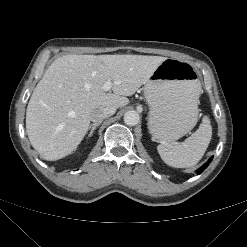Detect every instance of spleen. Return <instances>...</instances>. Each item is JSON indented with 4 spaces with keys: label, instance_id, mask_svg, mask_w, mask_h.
I'll return each instance as SVG.
<instances>
[{
    "label": "spleen",
    "instance_id": "obj_1",
    "mask_svg": "<svg viewBox=\"0 0 247 247\" xmlns=\"http://www.w3.org/2000/svg\"><path fill=\"white\" fill-rule=\"evenodd\" d=\"M212 137V127L207 116L199 128L184 142L176 145L162 143L157 146L161 159L169 166L187 168L196 165L203 157Z\"/></svg>",
    "mask_w": 247,
    "mask_h": 247
}]
</instances>
